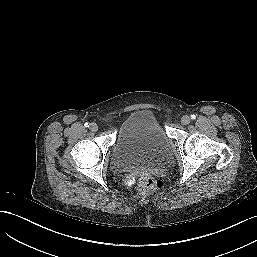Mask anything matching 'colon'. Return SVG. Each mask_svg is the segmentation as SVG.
<instances>
[{
	"instance_id": "5ec220e1",
	"label": "colon",
	"mask_w": 257,
	"mask_h": 257,
	"mask_svg": "<svg viewBox=\"0 0 257 257\" xmlns=\"http://www.w3.org/2000/svg\"><path fill=\"white\" fill-rule=\"evenodd\" d=\"M162 186L163 183L160 180L151 177H144L138 182V192L141 195H147L159 190Z\"/></svg>"
}]
</instances>
